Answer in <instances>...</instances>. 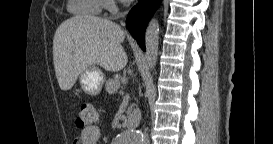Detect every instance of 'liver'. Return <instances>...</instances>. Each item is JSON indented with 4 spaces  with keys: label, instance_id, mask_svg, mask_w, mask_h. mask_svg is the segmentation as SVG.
<instances>
[{
    "label": "liver",
    "instance_id": "liver-1",
    "mask_svg": "<svg viewBox=\"0 0 273 144\" xmlns=\"http://www.w3.org/2000/svg\"><path fill=\"white\" fill-rule=\"evenodd\" d=\"M125 33L108 19L78 15L65 20L53 38V62L59 87L70 90L89 66L118 72L127 64L121 46Z\"/></svg>",
    "mask_w": 273,
    "mask_h": 144
}]
</instances>
